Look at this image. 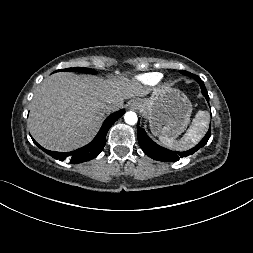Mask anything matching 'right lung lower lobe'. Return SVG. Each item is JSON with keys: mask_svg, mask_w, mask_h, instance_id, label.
I'll return each instance as SVG.
<instances>
[{"mask_svg": "<svg viewBox=\"0 0 253 253\" xmlns=\"http://www.w3.org/2000/svg\"><path fill=\"white\" fill-rule=\"evenodd\" d=\"M124 113L125 110L121 109L108 116L96 137L88 145L72 152L62 153L49 151L41 147L35 140L33 141L41 150H43L55 159H59L61 161L69 159L70 163H82L85 161H89L95 158L103 150L106 143L105 139L108 130Z\"/></svg>", "mask_w": 253, "mask_h": 253, "instance_id": "98d812e1", "label": "right lung lower lobe"}]
</instances>
